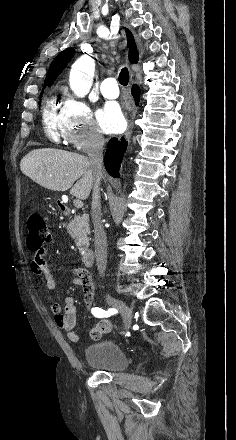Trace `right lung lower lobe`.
<instances>
[{"label": "right lung lower lobe", "instance_id": "obj_1", "mask_svg": "<svg viewBox=\"0 0 236 440\" xmlns=\"http://www.w3.org/2000/svg\"><path fill=\"white\" fill-rule=\"evenodd\" d=\"M135 103H139L140 89L137 85H133L131 91ZM127 148V142L124 138L121 142L117 138H112L107 145V150L104 158V165L107 172L113 177H119V167L123 157V154Z\"/></svg>", "mask_w": 236, "mask_h": 440}]
</instances>
